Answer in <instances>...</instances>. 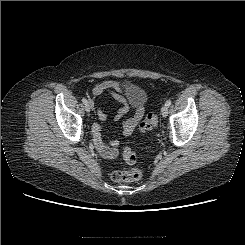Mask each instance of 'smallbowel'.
Returning <instances> with one entry per match:
<instances>
[{
    "instance_id": "1",
    "label": "small bowel",
    "mask_w": 245,
    "mask_h": 245,
    "mask_svg": "<svg viewBox=\"0 0 245 245\" xmlns=\"http://www.w3.org/2000/svg\"><path fill=\"white\" fill-rule=\"evenodd\" d=\"M125 90V86L120 84L116 81H105L102 83H99L95 85L92 89V94L94 96H99L105 93L110 94L115 100L122 103V107L119 109V111L114 115V119L118 120L120 119L124 114H126L129 109L130 105L126 98L123 96V92ZM91 104H93L91 102ZM144 105L138 104L134 110L133 115L124 121L122 125V135L123 136H129L133 133L135 130L137 124L140 122V120L143 118L144 115ZM97 115L101 120L106 119V114L98 109ZM102 128L99 125H96L94 127V145L97 149V151L105 158L113 159L118 155V146L120 144L119 140H112L109 143H105L101 136Z\"/></svg>"
}]
</instances>
